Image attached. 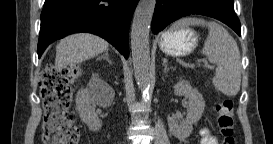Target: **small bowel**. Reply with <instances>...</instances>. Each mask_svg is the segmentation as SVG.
<instances>
[{
  "label": "small bowel",
  "instance_id": "obj_1",
  "mask_svg": "<svg viewBox=\"0 0 273 144\" xmlns=\"http://www.w3.org/2000/svg\"><path fill=\"white\" fill-rule=\"evenodd\" d=\"M201 144H217V138L207 128H203L200 131Z\"/></svg>",
  "mask_w": 273,
  "mask_h": 144
}]
</instances>
